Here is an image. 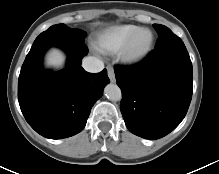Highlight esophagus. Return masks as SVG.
Returning <instances> with one entry per match:
<instances>
[{"label": "esophagus", "mask_w": 219, "mask_h": 174, "mask_svg": "<svg viewBox=\"0 0 219 174\" xmlns=\"http://www.w3.org/2000/svg\"><path fill=\"white\" fill-rule=\"evenodd\" d=\"M107 73H108V77H109L110 81L112 83H114L116 81L115 73H114V69L111 66L107 67Z\"/></svg>", "instance_id": "obj_1"}]
</instances>
